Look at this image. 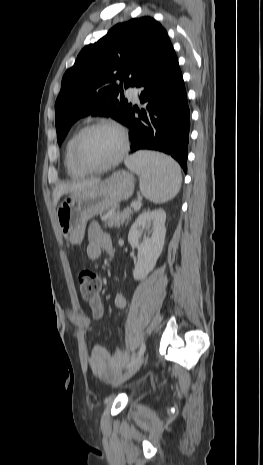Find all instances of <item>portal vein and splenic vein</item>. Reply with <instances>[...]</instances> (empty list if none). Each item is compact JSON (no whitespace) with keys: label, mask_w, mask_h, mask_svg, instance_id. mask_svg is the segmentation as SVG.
<instances>
[{"label":"portal vein and splenic vein","mask_w":263,"mask_h":465,"mask_svg":"<svg viewBox=\"0 0 263 465\" xmlns=\"http://www.w3.org/2000/svg\"><path fill=\"white\" fill-rule=\"evenodd\" d=\"M141 205H142V204H141V202H139V201H138V202H132L131 205H130V207H131L132 209H134V210H139V209L141 208Z\"/></svg>","instance_id":"obj_1"}]
</instances>
